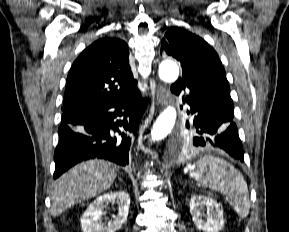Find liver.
<instances>
[{
    "instance_id": "6515ba94",
    "label": "liver",
    "mask_w": 289,
    "mask_h": 232,
    "mask_svg": "<svg viewBox=\"0 0 289 232\" xmlns=\"http://www.w3.org/2000/svg\"><path fill=\"white\" fill-rule=\"evenodd\" d=\"M117 176L116 165L101 159L81 162L54 183L51 214L57 217L71 206L108 190Z\"/></svg>"
}]
</instances>
